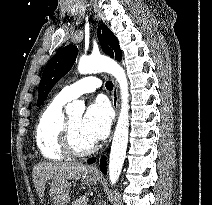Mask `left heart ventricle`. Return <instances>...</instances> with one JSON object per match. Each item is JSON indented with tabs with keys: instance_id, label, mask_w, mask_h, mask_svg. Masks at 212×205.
<instances>
[{
	"instance_id": "1",
	"label": "left heart ventricle",
	"mask_w": 212,
	"mask_h": 205,
	"mask_svg": "<svg viewBox=\"0 0 212 205\" xmlns=\"http://www.w3.org/2000/svg\"><path fill=\"white\" fill-rule=\"evenodd\" d=\"M69 121L71 125L72 138L74 144L78 148H85L93 143L82 130V115L71 116Z\"/></svg>"
}]
</instances>
